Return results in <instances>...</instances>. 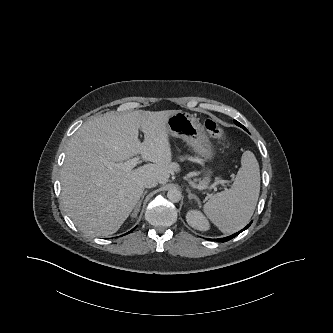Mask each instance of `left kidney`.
Returning a JSON list of instances; mask_svg holds the SVG:
<instances>
[{"mask_svg":"<svg viewBox=\"0 0 333 333\" xmlns=\"http://www.w3.org/2000/svg\"><path fill=\"white\" fill-rule=\"evenodd\" d=\"M187 223L194 229L207 231L210 224L205 216L199 210H189L186 214Z\"/></svg>","mask_w":333,"mask_h":333,"instance_id":"obj_1","label":"left kidney"}]
</instances>
